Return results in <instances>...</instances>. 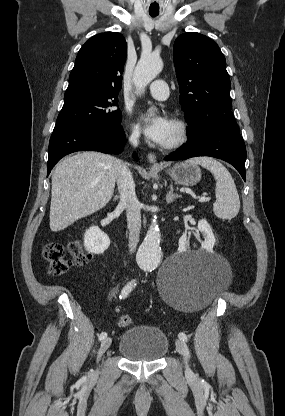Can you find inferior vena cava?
I'll list each match as a JSON object with an SVG mask.
<instances>
[{
  "instance_id": "inferior-vena-cava-1",
  "label": "inferior vena cava",
  "mask_w": 285,
  "mask_h": 416,
  "mask_svg": "<svg viewBox=\"0 0 285 416\" xmlns=\"http://www.w3.org/2000/svg\"><path fill=\"white\" fill-rule=\"evenodd\" d=\"M129 142H131L132 146H138V136L132 134L129 138ZM117 184L120 194L119 204H123L126 208L129 230V252L133 254L139 242L141 228L140 202H138L136 198L132 174L124 164L117 170Z\"/></svg>"
}]
</instances>
